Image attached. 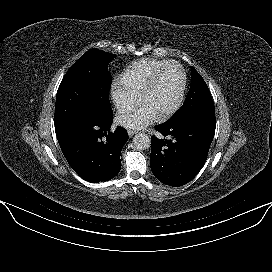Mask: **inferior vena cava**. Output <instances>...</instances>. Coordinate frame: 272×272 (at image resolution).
<instances>
[{
  "label": "inferior vena cava",
  "instance_id": "1",
  "mask_svg": "<svg viewBox=\"0 0 272 272\" xmlns=\"http://www.w3.org/2000/svg\"><path fill=\"white\" fill-rule=\"evenodd\" d=\"M129 106L127 103H122L118 105V109H126Z\"/></svg>",
  "mask_w": 272,
  "mask_h": 272
}]
</instances>
